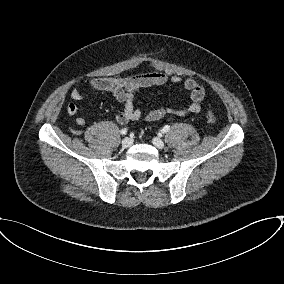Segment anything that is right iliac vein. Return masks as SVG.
<instances>
[{"label":"right iliac vein","instance_id":"1","mask_svg":"<svg viewBox=\"0 0 284 284\" xmlns=\"http://www.w3.org/2000/svg\"><path fill=\"white\" fill-rule=\"evenodd\" d=\"M121 144L123 148H128L133 144V140L129 137H126L122 140Z\"/></svg>","mask_w":284,"mask_h":284}]
</instances>
